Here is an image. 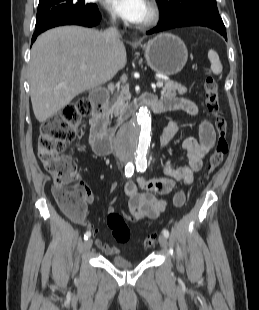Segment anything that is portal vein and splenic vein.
Instances as JSON below:
<instances>
[{
  "label": "portal vein and splenic vein",
  "mask_w": 259,
  "mask_h": 310,
  "mask_svg": "<svg viewBox=\"0 0 259 310\" xmlns=\"http://www.w3.org/2000/svg\"><path fill=\"white\" fill-rule=\"evenodd\" d=\"M85 68H86V66L83 65V66H82V69H85ZM156 86H157L158 88L163 87V82H157V83H156Z\"/></svg>",
  "instance_id": "obj_1"
}]
</instances>
